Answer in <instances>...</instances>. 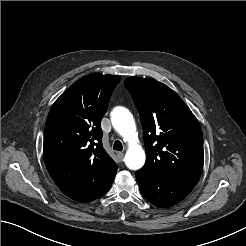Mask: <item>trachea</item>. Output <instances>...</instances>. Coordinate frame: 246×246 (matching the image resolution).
<instances>
[{"label": "trachea", "mask_w": 246, "mask_h": 246, "mask_svg": "<svg viewBox=\"0 0 246 246\" xmlns=\"http://www.w3.org/2000/svg\"><path fill=\"white\" fill-rule=\"evenodd\" d=\"M113 149L121 151L123 149L122 143L119 140H116L114 142Z\"/></svg>", "instance_id": "obj_1"}]
</instances>
